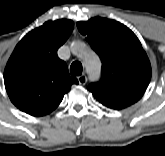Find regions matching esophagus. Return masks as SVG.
<instances>
[{
    "label": "esophagus",
    "mask_w": 165,
    "mask_h": 156,
    "mask_svg": "<svg viewBox=\"0 0 165 156\" xmlns=\"http://www.w3.org/2000/svg\"><path fill=\"white\" fill-rule=\"evenodd\" d=\"M78 82L80 85H85L87 82V77L86 75H80L78 76Z\"/></svg>",
    "instance_id": "obj_1"
}]
</instances>
